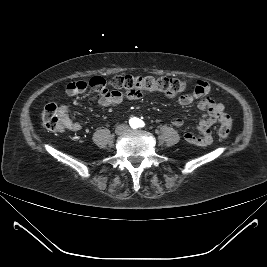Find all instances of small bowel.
I'll return each mask as SVG.
<instances>
[{"mask_svg": "<svg viewBox=\"0 0 267 267\" xmlns=\"http://www.w3.org/2000/svg\"><path fill=\"white\" fill-rule=\"evenodd\" d=\"M88 87L96 92V98L101 106L116 109L123 100V94L116 90H108L105 80L100 77H94L88 82L76 81L69 83L66 92L68 95L73 96L82 93ZM209 91V84L200 80L195 83L191 92L182 94L178 98V104L182 107L188 106L195 99H199L198 108L203 112V115L196 128L200 135L195 136L189 132L184 135L187 142L198 146H207L213 142L211 127L217 123L219 116L224 112V105L209 97ZM174 96L175 94L168 95L169 98H173ZM57 112L62 121L63 129L70 131H79L82 129L80 122L74 121L69 117V109L66 105H59ZM171 122L175 127H181L183 125V120L179 117H174Z\"/></svg>", "mask_w": 267, "mask_h": 267, "instance_id": "obj_1", "label": "small bowel"}]
</instances>
